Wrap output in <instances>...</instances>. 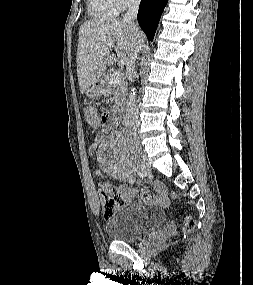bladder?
<instances>
[{
  "label": "bladder",
  "mask_w": 253,
  "mask_h": 285,
  "mask_svg": "<svg viewBox=\"0 0 253 285\" xmlns=\"http://www.w3.org/2000/svg\"><path fill=\"white\" fill-rule=\"evenodd\" d=\"M165 221L163 209L132 203L117 209L106 222L105 232L112 240L133 242L160 227Z\"/></svg>",
  "instance_id": "bladder-1"
}]
</instances>
